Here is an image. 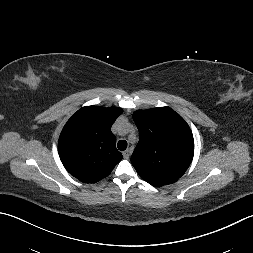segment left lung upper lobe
I'll return each instance as SVG.
<instances>
[{
  "label": "left lung upper lobe",
  "instance_id": "obj_1",
  "mask_svg": "<svg viewBox=\"0 0 253 253\" xmlns=\"http://www.w3.org/2000/svg\"><path fill=\"white\" fill-rule=\"evenodd\" d=\"M133 119L139 142L131 162L140 177L156 187L176 182L193 159L194 139L188 124L169 107L137 110Z\"/></svg>",
  "mask_w": 253,
  "mask_h": 253
}]
</instances>
